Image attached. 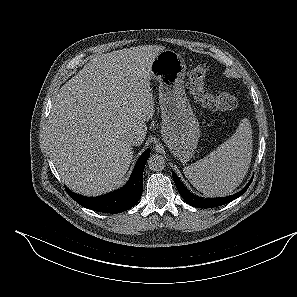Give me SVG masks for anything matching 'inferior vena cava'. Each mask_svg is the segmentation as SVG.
<instances>
[{"instance_id":"602c4592","label":"inferior vena cava","mask_w":297,"mask_h":297,"mask_svg":"<svg viewBox=\"0 0 297 297\" xmlns=\"http://www.w3.org/2000/svg\"><path fill=\"white\" fill-rule=\"evenodd\" d=\"M128 142L132 146L138 145L141 142V137H139V136H137L135 134H131L128 137Z\"/></svg>"}]
</instances>
